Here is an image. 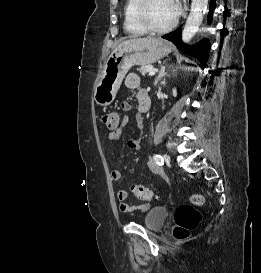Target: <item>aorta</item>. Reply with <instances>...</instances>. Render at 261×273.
<instances>
[{"label":"aorta","mask_w":261,"mask_h":273,"mask_svg":"<svg viewBox=\"0 0 261 273\" xmlns=\"http://www.w3.org/2000/svg\"><path fill=\"white\" fill-rule=\"evenodd\" d=\"M207 5L208 0H192L191 10L182 31V41L184 43H188L198 31Z\"/></svg>","instance_id":"obj_1"}]
</instances>
